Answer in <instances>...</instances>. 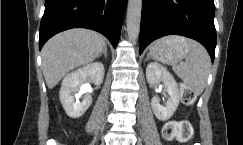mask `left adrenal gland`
Segmentation results:
<instances>
[{
	"label": "left adrenal gland",
	"mask_w": 243,
	"mask_h": 145,
	"mask_svg": "<svg viewBox=\"0 0 243 145\" xmlns=\"http://www.w3.org/2000/svg\"><path fill=\"white\" fill-rule=\"evenodd\" d=\"M150 59V55L147 56V58L145 59L146 61Z\"/></svg>",
	"instance_id": "obj_1"
}]
</instances>
